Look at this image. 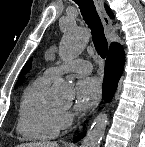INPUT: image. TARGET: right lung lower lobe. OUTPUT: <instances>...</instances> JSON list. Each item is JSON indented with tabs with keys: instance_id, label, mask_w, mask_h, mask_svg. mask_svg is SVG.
Returning <instances> with one entry per match:
<instances>
[{
	"instance_id": "98d812e1",
	"label": "right lung lower lobe",
	"mask_w": 145,
	"mask_h": 147,
	"mask_svg": "<svg viewBox=\"0 0 145 147\" xmlns=\"http://www.w3.org/2000/svg\"><path fill=\"white\" fill-rule=\"evenodd\" d=\"M124 50L123 47L113 42L109 49V54L105 63L104 81L102 88L103 99L109 102L117 89L118 81L124 69ZM81 134L80 137H83ZM77 140H75L76 142Z\"/></svg>"
}]
</instances>
